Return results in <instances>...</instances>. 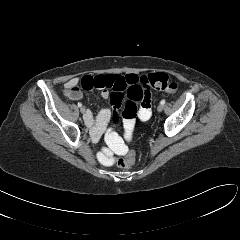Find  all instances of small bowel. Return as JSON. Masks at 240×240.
<instances>
[{"label": "small bowel", "mask_w": 240, "mask_h": 240, "mask_svg": "<svg viewBox=\"0 0 240 240\" xmlns=\"http://www.w3.org/2000/svg\"><path fill=\"white\" fill-rule=\"evenodd\" d=\"M80 83L86 90L97 88L101 91V95L105 99H110L113 105V111L109 109H102L99 114L94 117L91 112L85 115V122L91 128L92 137L98 140L104 133L107 123L111 120L114 126H117L120 121V114L118 109L121 107L125 93L131 86H136L140 90V108L138 111V118L141 121H147L151 117V93L149 88L140 83V78L136 74L127 75H96L84 76L83 78H72L66 83V89L71 86H76ZM69 97L77 100L81 97L78 94H71ZM134 121L124 120L125 128L130 131L133 127ZM117 152H123L124 147L120 144L116 146Z\"/></svg>", "instance_id": "obj_1"}]
</instances>
